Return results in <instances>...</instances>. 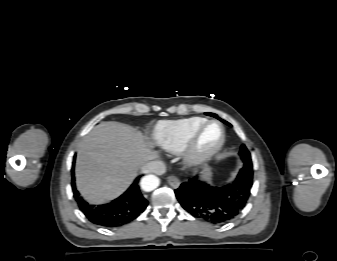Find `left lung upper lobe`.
Returning a JSON list of instances; mask_svg holds the SVG:
<instances>
[{"label": "left lung upper lobe", "instance_id": "obj_1", "mask_svg": "<svg viewBox=\"0 0 337 261\" xmlns=\"http://www.w3.org/2000/svg\"><path fill=\"white\" fill-rule=\"evenodd\" d=\"M239 154L244 162L243 169L245 171H252L253 166H252L251 156H250L249 151L245 147V145L241 146V150Z\"/></svg>", "mask_w": 337, "mask_h": 261}]
</instances>
